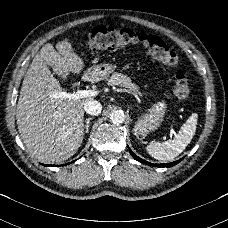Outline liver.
<instances>
[{
    "instance_id": "liver-1",
    "label": "liver",
    "mask_w": 228,
    "mask_h": 228,
    "mask_svg": "<svg viewBox=\"0 0 228 228\" xmlns=\"http://www.w3.org/2000/svg\"><path fill=\"white\" fill-rule=\"evenodd\" d=\"M70 73L80 75L85 60L69 37L55 47L46 44L35 55L24 77L17 104V128L27 149L42 162H62L73 156L84 139V106L92 98H57Z\"/></svg>"
}]
</instances>
